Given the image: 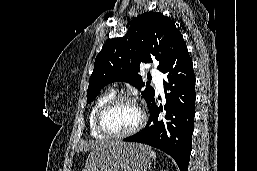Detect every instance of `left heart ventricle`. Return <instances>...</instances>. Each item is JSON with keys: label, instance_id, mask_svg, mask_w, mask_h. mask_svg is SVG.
Wrapping results in <instances>:
<instances>
[{"label": "left heart ventricle", "instance_id": "obj_1", "mask_svg": "<svg viewBox=\"0 0 257 171\" xmlns=\"http://www.w3.org/2000/svg\"><path fill=\"white\" fill-rule=\"evenodd\" d=\"M140 119V113L131 103H120L112 107L104 117V126L112 133H124L134 128Z\"/></svg>", "mask_w": 257, "mask_h": 171}]
</instances>
